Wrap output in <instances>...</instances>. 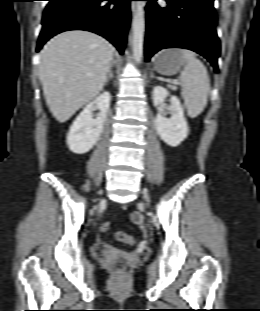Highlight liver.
<instances>
[{"label": "liver", "instance_id": "obj_1", "mask_svg": "<svg viewBox=\"0 0 260 311\" xmlns=\"http://www.w3.org/2000/svg\"><path fill=\"white\" fill-rule=\"evenodd\" d=\"M114 47L82 30L63 32L41 51L39 77L50 112L64 123L102 91Z\"/></svg>", "mask_w": 260, "mask_h": 311}]
</instances>
